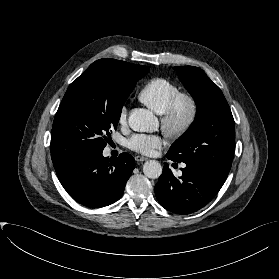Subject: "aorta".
Masks as SVG:
<instances>
[{"label": "aorta", "mask_w": 279, "mask_h": 279, "mask_svg": "<svg viewBox=\"0 0 279 279\" xmlns=\"http://www.w3.org/2000/svg\"><path fill=\"white\" fill-rule=\"evenodd\" d=\"M129 126L137 132H154L158 129L157 117L144 108L133 109L128 118ZM143 173L146 177L156 179L162 174V166L158 161H146L143 166Z\"/></svg>", "instance_id": "1"}]
</instances>
